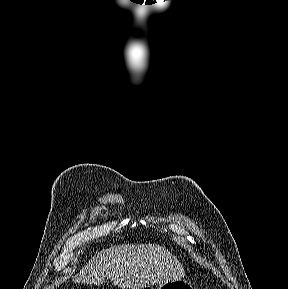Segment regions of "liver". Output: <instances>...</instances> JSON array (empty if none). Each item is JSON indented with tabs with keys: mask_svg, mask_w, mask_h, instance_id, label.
<instances>
[{
	"mask_svg": "<svg viewBox=\"0 0 288 289\" xmlns=\"http://www.w3.org/2000/svg\"><path fill=\"white\" fill-rule=\"evenodd\" d=\"M183 276L182 264L166 248L156 244H122L94 255L72 281L101 285L111 279L123 289H144Z\"/></svg>",
	"mask_w": 288,
	"mask_h": 289,
	"instance_id": "6515ba94",
	"label": "liver"
}]
</instances>
